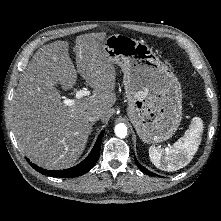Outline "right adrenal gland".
Returning a JSON list of instances; mask_svg holds the SVG:
<instances>
[{
	"label": "right adrenal gland",
	"mask_w": 221,
	"mask_h": 221,
	"mask_svg": "<svg viewBox=\"0 0 221 221\" xmlns=\"http://www.w3.org/2000/svg\"><path fill=\"white\" fill-rule=\"evenodd\" d=\"M93 125H94V123H91V124H90L89 134H91V132H92V127H93Z\"/></svg>",
	"instance_id": "1"
}]
</instances>
